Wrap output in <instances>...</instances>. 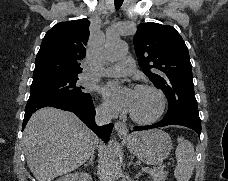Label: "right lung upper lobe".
Returning a JSON list of instances; mask_svg holds the SVG:
<instances>
[{
  "mask_svg": "<svg viewBox=\"0 0 228 181\" xmlns=\"http://www.w3.org/2000/svg\"><path fill=\"white\" fill-rule=\"evenodd\" d=\"M90 21L79 19L60 22L43 38L35 63L33 78L82 72Z\"/></svg>",
  "mask_w": 228,
  "mask_h": 181,
  "instance_id": "cb5924a9",
  "label": "right lung upper lobe"
}]
</instances>
